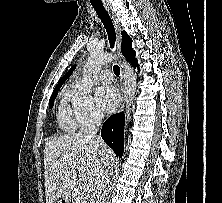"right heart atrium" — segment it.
I'll return each mask as SVG.
<instances>
[{"label":"right heart atrium","instance_id":"obj_1","mask_svg":"<svg viewBox=\"0 0 222 203\" xmlns=\"http://www.w3.org/2000/svg\"><path fill=\"white\" fill-rule=\"evenodd\" d=\"M68 98L71 102L76 124L80 129L89 130L102 118V114L89 95L71 90Z\"/></svg>","mask_w":222,"mask_h":203}]
</instances>
